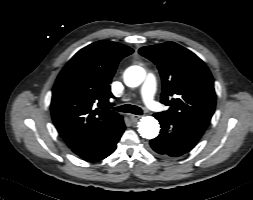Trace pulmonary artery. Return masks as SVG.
I'll use <instances>...</instances> for the list:
<instances>
[{"instance_id":"obj_1","label":"pulmonary artery","mask_w":253,"mask_h":200,"mask_svg":"<svg viewBox=\"0 0 253 200\" xmlns=\"http://www.w3.org/2000/svg\"><path fill=\"white\" fill-rule=\"evenodd\" d=\"M155 92H156L155 76L153 74H148L141 88V96L146 106L151 110H157L159 108L158 103L154 99Z\"/></svg>"}]
</instances>
